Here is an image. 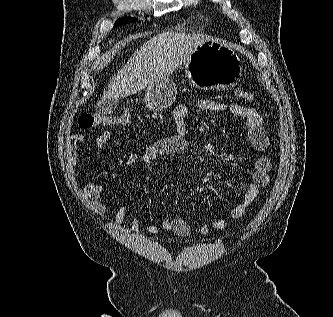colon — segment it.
Instances as JSON below:
<instances>
[{"instance_id": "colon-1", "label": "colon", "mask_w": 333, "mask_h": 317, "mask_svg": "<svg viewBox=\"0 0 333 317\" xmlns=\"http://www.w3.org/2000/svg\"><path fill=\"white\" fill-rule=\"evenodd\" d=\"M236 96L244 101H252L253 95L245 90H236ZM129 121V115L125 113L119 118H110L100 114L84 113L79 118V125L85 130H90L100 126H106L113 123L125 124Z\"/></svg>"}]
</instances>
